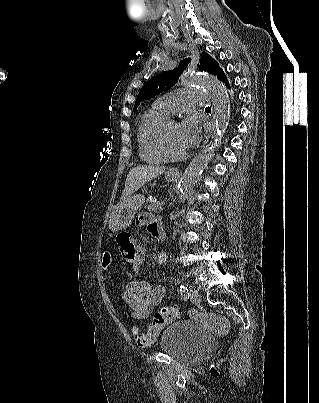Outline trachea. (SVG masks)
<instances>
[{
  "label": "trachea",
  "mask_w": 319,
  "mask_h": 403,
  "mask_svg": "<svg viewBox=\"0 0 319 403\" xmlns=\"http://www.w3.org/2000/svg\"><path fill=\"white\" fill-rule=\"evenodd\" d=\"M206 109H209V110H211V107H207Z\"/></svg>",
  "instance_id": "obj_1"
}]
</instances>
